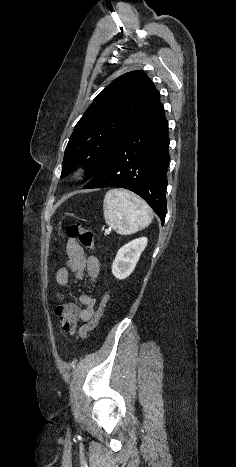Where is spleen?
I'll return each mask as SVG.
<instances>
[{
	"instance_id": "spleen-1",
	"label": "spleen",
	"mask_w": 236,
	"mask_h": 467,
	"mask_svg": "<svg viewBox=\"0 0 236 467\" xmlns=\"http://www.w3.org/2000/svg\"><path fill=\"white\" fill-rule=\"evenodd\" d=\"M105 222L120 235H129L152 222L153 212L139 196L126 190L111 189L103 203Z\"/></svg>"
}]
</instances>
